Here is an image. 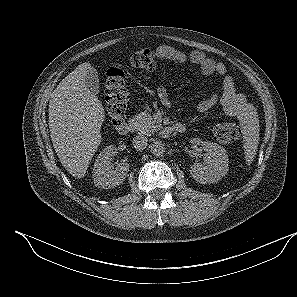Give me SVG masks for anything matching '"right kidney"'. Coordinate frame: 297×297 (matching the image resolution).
Segmentation results:
<instances>
[{
  "instance_id": "1",
  "label": "right kidney",
  "mask_w": 297,
  "mask_h": 297,
  "mask_svg": "<svg viewBox=\"0 0 297 297\" xmlns=\"http://www.w3.org/2000/svg\"><path fill=\"white\" fill-rule=\"evenodd\" d=\"M116 153V148L113 145H109L98 155L93 169L94 184L98 188H114L125 180L129 171V164L121 162L114 170L111 157Z\"/></svg>"
}]
</instances>
